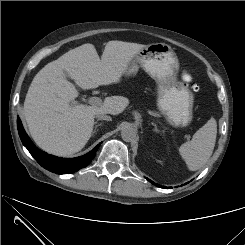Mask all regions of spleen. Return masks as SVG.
Segmentation results:
<instances>
[{
  "mask_svg": "<svg viewBox=\"0 0 245 245\" xmlns=\"http://www.w3.org/2000/svg\"><path fill=\"white\" fill-rule=\"evenodd\" d=\"M216 136L217 122L211 118L196 131L191 141L180 146L179 153L189 170H199L207 163L213 153Z\"/></svg>",
  "mask_w": 245,
  "mask_h": 245,
  "instance_id": "obj_1",
  "label": "spleen"
}]
</instances>
